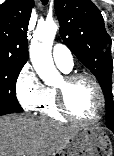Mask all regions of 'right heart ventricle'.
<instances>
[{
    "label": "right heart ventricle",
    "mask_w": 114,
    "mask_h": 156,
    "mask_svg": "<svg viewBox=\"0 0 114 156\" xmlns=\"http://www.w3.org/2000/svg\"><path fill=\"white\" fill-rule=\"evenodd\" d=\"M61 70L66 73L69 72L63 69ZM36 111L44 117L62 122L66 121V118L60 113L58 109L56 88L45 87L44 100L39 104Z\"/></svg>",
    "instance_id": "obj_1"
}]
</instances>
